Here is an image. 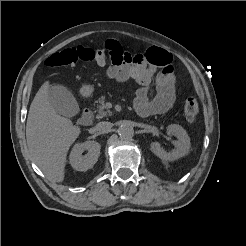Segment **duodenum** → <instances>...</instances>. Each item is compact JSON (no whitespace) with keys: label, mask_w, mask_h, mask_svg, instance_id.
<instances>
[{"label":"duodenum","mask_w":246,"mask_h":246,"mask_svg":"<svg viewBox=\"0 0 246 246\" xmlns=\"http://www.w3.org/2000/svg\"><path fill=\"white\" fill-rule=\"evenodd\" d=\"M93 112L90 108H85L79 118V124L87 126L92 123Z\"/></svg>","instance_id":"obj_1"}]
</instances>
